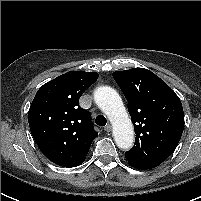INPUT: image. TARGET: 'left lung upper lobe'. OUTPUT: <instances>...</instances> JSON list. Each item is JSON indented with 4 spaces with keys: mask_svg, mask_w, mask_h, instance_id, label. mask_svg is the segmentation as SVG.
I'll return each instance as SVG.
<instances>
[{
    "mask_svg": "<svg viewBox=\"0 0 201 201\" xmlns=\"http://www.w3.org/2000/svg\"><path fill=\"white\" fill-rule=\"evenodd\" d=\"M113 78L128 101L135 143L125 153L139 164H161L177 147L184 129L183 107L175 92L144 68L116 71Z\"/></svg>",
    "mask_w": 201,
    "mask_h": 201,
    "instance_id": "5c2ea615",
    "label": "left lung upper lobe"
}]
</instances>
